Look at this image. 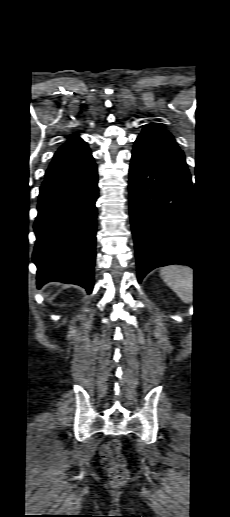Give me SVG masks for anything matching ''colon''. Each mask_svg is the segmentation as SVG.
<instances>
[{"mask_svg":"<svg viewBox=\"0 0 230 517\" xmlns=\"http://www.w3.org/2000/svg\"><path fill=\"white\" fill-rule=\"evenodd\" d=\"M100 455L101 465L109 473L111 483L114 486L126 483L129 474L120 442L117 440L106 442L100 449Z\"/></svg>","mask_w":230,"mask_h":517,"instance_id":"obj_1","label":"colon"}]
</instances>
